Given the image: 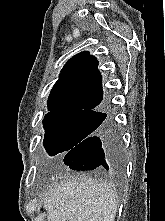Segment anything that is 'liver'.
Here are the masks:
<instances>
[{"mask_svg": "<svg viewBox=\"0 0 165 221\" xmlns=\"http://www.w3.org/2000/svg\"><path fill=\"white\" fill-rule=\"evenodd\" d=\"M48 221H114L116 194L104 182L65 177L43 200Z\"/></svg>", "mask_w": 165, "mask_h": 221, "instance_id": "1", "label": "liver"}]
</instances>
